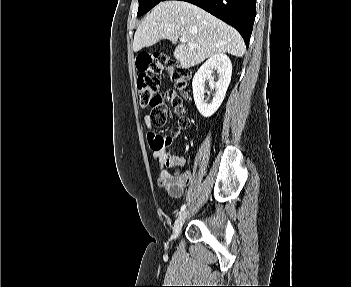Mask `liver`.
<instances>
[{
	"label": "liver",
	"instance_id": "liver-1",
	"mask_svg": "<svg viewBox=\"0 0 351 287\" xmlns=\"http://www.w3.org/2000/svg\"><path fill=\"white\" fill-rule=\"evenodd\" d=\"M180 38L187 42H181L173 54L185 69L218 53L236 57L245 53V43L236 29L196 5L177 0L159 3L144 18L135 32L133 51L150 47L161 39L176 42Z\"/></svg>",
	"mask_w": 351,
	"mask_h": 287
}]
</instances>
